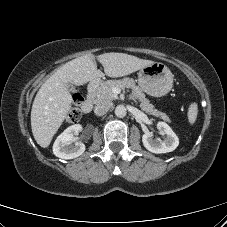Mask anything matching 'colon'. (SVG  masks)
Listing matches in <instances>:
<instances>
[{
    "label": "colon",
    "instance_id": "obj_1",
    "mask_svg": "<svg viewBox=\"0 0 227 227\" xmlns=\"http://www.w3.org/2000/svg\"><path fill=\"white\" fill-rule=\"evenodd\" d=\"M83 98L80 94H75L73 97V105L68 113L67 120L69 122H76L81 116V104Z\"/></svg>",
    "mask_w": 227,
    "mask_h": 227
}]
</instances>
